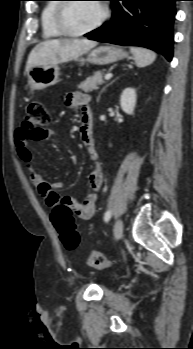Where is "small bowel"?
Wrapping results in <instances>:
<instances>
[{
	"instance_id": "1",
	"label": "small bowel",
	"mask_w": 193,
	"mask_h": 349,
	"mask_svg": "<svg viewBox=\"0 0 193 349\" xmlns=\"http://www.w3.org/2000/svg\"><path fill=\"white\" fill-rule=\"evenodd\" d=\"M90 97L82 92H71L65 97V105L69 108H75L80 111L81 125L80 137L84 148L86 149L94 169L88 175V183L90 193L83 201H78L72 197H61L57 190L61 189V182L51 183L46 181L35 169L34 159L29 149V142L33 139L29 138L22 128L16 130L15 145L19 158L26 164L29 171L31 182L38 188L39 193L46 203L53 207L58 202H66L72 209L74 216L83 219H91L96 210L97 193L102 185L103 174L100 167L98 153L95 147V141L92 132V117L89 107ZM51 134L50 136H52Z\"/></svg>"
}]
</instances>
